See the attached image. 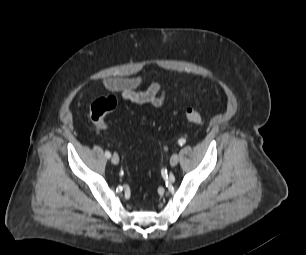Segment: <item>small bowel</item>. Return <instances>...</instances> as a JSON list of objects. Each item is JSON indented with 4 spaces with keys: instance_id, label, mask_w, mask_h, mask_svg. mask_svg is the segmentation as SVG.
<instances>
[{
    "instance_id": "c3829d8e",
    "label": "small bowel",
    "mask_w": 306,
    "mask_h": 255,
    "mask_svg": "<svg viewBox=\"0 0 306 255\" xmlns=\"http://www.w3.org/2000/svg\"><path fill=\"white\" fill-rule=\"evenodd\" d=\"M104 87L112 92H118L125 101L143 105L149 104L160 107L166 100V92L159 83L150 84L145 90L138 91L142 85L140 76L127 78H107L103 81Z\"/></svg>"
}]
</instances>
